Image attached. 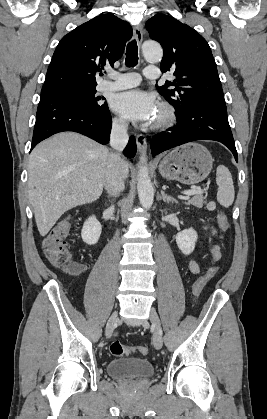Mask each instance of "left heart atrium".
<instances>
[{
  "label": "left heart atrium",
  "instance_id": "1",
  "mask_svg": "<svg viewBox=\"0 0 267 419\" xmlns=\"http://www.w3.org/2000/svg\"><path fill=\"white\" fill-rule=\"evenodd\" d=\"M112 108L120 115L140 123H151L158 112V103L154 94L133 89L116 94Z\"/></svg>",
  "mask_w": 267,
  "mask_h": 419
}]
</instances>
